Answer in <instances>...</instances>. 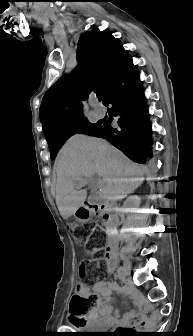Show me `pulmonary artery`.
I'll use <instances>...</instances> for the list:
<instances>
[{"mask_svg":"<svg viewBox=\"0 0 193 336\" xmlns=\"http://www.w3.org/2000/svg\"><path fill=\"white\" fill-rule=\"evenodd\" d=\"M94 103H95V99H92V100H91V104H92V106H93V110H94V112H95L97 115H99V116L104 115V113H105L104 108H102V107H97V106L94 105Z\"/></svg>","mask_w":193,"mask_h":336,"instance_id":"e3ab8cb5","label":"pulmonary artery"}]
</instances>
